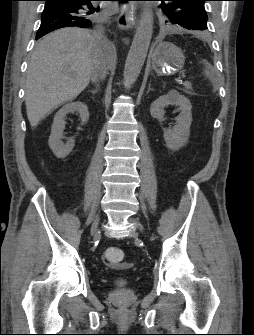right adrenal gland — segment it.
Listing matches in <instances>:
<instances>
[{"mask_svg": "<svg viewBox=\"0 0 254 335\" xmlns=\"http://www.w3.org/2000/svg\"><path fill=\"white\" fill-rule=\"evenodd\" d=\"M99 86L97 85L95 89L91 90V93L94 95L98 92Z\"/></svg>", "mask_w": 254, "mask_h": 335, "instance_id": "right-adrenal-gland-1", "label": "right adrenal gland"}]
</instances>
